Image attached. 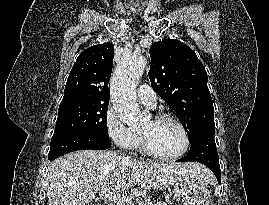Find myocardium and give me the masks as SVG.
<instances>
[{"instance_id": "obj_1", "label": "myocardium", "mask_w": 269, "mask_h": 205, "mask_svg": "<svg viewBox=\"0 0 269 205\" xmlns=\"http://www.w3.org/2000/svg\"><path fill=\"white\" fill-rule=\"evenodd\" d=\"M164 120H168V121L173 122L180 129V131L183 135V138H184L183 148L175 154H171V155L160 154V153L154 151L150 147V145L148 144V142L146 141L144 136H141L142 150L146 155H148L149 157L154 158V159L175 160V159L182 157L189 150L190 144H191L190 136H189V133H188L186 126L181 122V120H179L176 116H174L170 113H160V114L156 115L155 118L153 119V121H155V122L164 121Z\"/></svg>"}]
</instances>
